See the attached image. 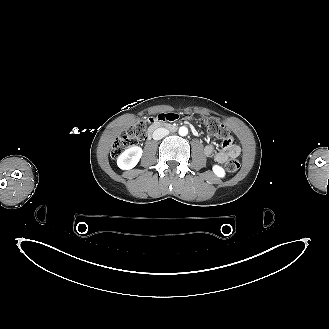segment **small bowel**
<instances>
[{"mask_svg":"<svg viewBox=\"0 0 329 329\" xmlns=\"http://www.w3.org/2000/svg\"><path fill=\"white\" fill-rule=\"evenodd\" d=\"M181 117H187V114H181ZM188 117L193 120H197V117L193 114H188ZM178 118V114L172 112H161L156 116L158 121L167 123L175 122ZM204 152L209 157H214L218 163H225L229 158L237 157L240 154V148L237 145H230L226 149H216L213 145L208 144L205 146Z\"/></svg>","mask_w":329,"mask_h":329,"instance_id":"1","label":"small bowel"}]
</instances>
